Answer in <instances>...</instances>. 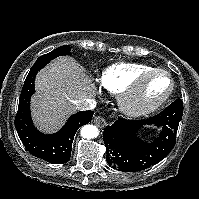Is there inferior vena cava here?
<instances>
[{"mask_svg": "<svg viewBox=\"0 0 199 199\" xmlns=\"http://www.w3.org/2000/svg\"><path fill=\"white\" fill-rule=\"evenodd\" d=\"M96 101L93 98L78 100L75 102L76 108L81 111L93 110L96 107Z\"/></svg>", "mask_w": 199, "mask_h": 199, "instance_id": "1", "label": "inferior vena cava"}]
</instances>
